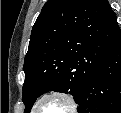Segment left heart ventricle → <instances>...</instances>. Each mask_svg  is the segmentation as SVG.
I'll return each instance as SVG.
<instances>
[{
	"label": "left heart ventricle",
	"instance_id": "1",
	"mask_svg": "<svg viewBox=\"0 0 121 113\" xmlns=\"http://www.w3.org/2000/svg\"><path fill=\"white\" fill-rule=\"evenodd\" d=\"M69 109L62 99L50 97L45 99L38 107V113H65Z\"/></svg>",
	"mask_w": 121,
	"mask_h": 113
}]
</instances>
